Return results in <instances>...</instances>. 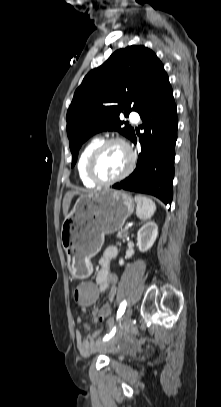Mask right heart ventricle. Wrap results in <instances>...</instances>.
Returning <instances> with one entry per match:
<instances>
[{"label": "right heart ventricle", "mask_w": 221, "mask_h": 407, "mask_svg": "<svg viewBox=\"0 0 221 407\" xmlns=\"http://www.w3.org/2000/svg\"><path fill=\"white\" fill-rule=\"evenodd\" d=\"M102 142L100 138H95L88 142L84 148L82 149L78 160H77V174L82 182V184L86 187H94L96 184H94L86 175L85 171V166H86V161L91 154V152Z\"/></svg>", "instance_id": "obj_1"}]
</instances>
